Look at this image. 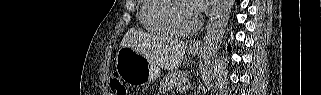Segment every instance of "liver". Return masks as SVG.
<instances>
[{
  "instance_id": "1",
  "label": "liver",
  "mask_w": 321,
  "mask_h": 95,
  "mask_svg": "<svg viewBox=\"0 0 321 95\" xmlns=\"http://www.w3.org/2000/svg\"><path fill=\"white\" fill-rule=\"evenodd\" d=\"M120 47H130L165 70L177 69L184 58L187 43L170 38L152 40L137 30H129Z\"/></svg>"
}]
</instances>
